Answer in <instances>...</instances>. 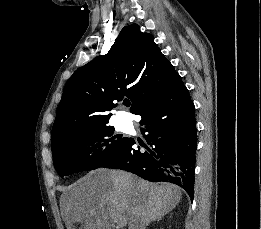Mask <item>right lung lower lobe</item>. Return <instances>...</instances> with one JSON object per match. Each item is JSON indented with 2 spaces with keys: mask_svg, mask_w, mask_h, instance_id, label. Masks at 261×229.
<instances>
[{
  "mask_svg": "<svg viewBox=\"0 0 261 229\" xmlns=\"http://www.w3.org/2000/svg\"><path fill=\"white\" fill-rule=\"evenodd\" d=\"M194 104L181 77L156 100L137 114L142 116L141 132L148 145L140 151L130 139L127 146L103 168L132 172L146 180L165 181L183 188L194 197L197 129Z\"/></svg>",
  "mask_w": 261,
  "mask_h": 229,
  "instance_id": "98d812e1",
  "label": "right lung lower lobe"
}]
</instances>
